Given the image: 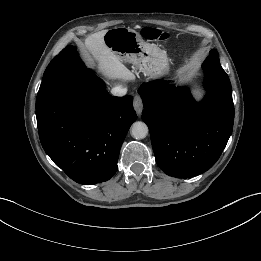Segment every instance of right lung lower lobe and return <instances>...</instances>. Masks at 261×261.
<instances>
[{
	"label": "right lung lower lobe",
	"mask_w": 261,
	"mask_h": 261,
	"mask_svg": "<svg viewBox=\"0 0 261 261\" xmlns=\"http://www.w3.org/2000/svg\"><path fill=\"white\" fill-rule=\"evenodd\" d=\"M41 144L71 179L91 185L117 171L121 145L137 115L133 97L108 96L89 69L67 77L36 102Z\"/></svg>",
	"instance_id": "right-lung-lower-lobe-1"
}]
</instances>
